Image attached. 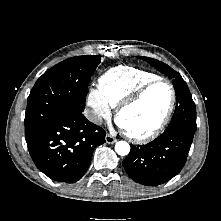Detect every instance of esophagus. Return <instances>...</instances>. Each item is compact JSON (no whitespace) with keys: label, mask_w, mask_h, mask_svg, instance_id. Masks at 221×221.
I'll use <instances>...</instances> for the list:
<instances>
[{"label":"esophagus","mask_w":221,"mask_h":221,"mask_svg":"<svg viewBox=\"0 0 221 221\" xmlns=\"http://www.w3.org/2000/svg\"><path fill=\"white\" fill-rule=\"evenodd\" d=\"M105 141L108 143V144H113L117 141V139L115 137H113L112 135L110 134H107L105 136Z\"/></svg>","instance_id":"esophagus-1"}]
</instances>
